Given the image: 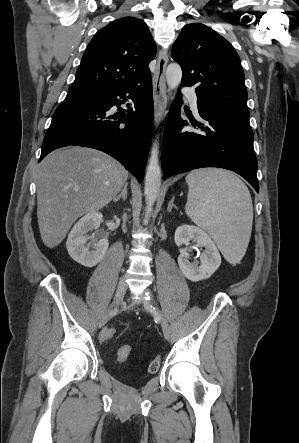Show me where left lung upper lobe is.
<instances>
[{
  "instance_id": "obj_1",
  "label": "left lung upper lobe",
  "mask_w": 299,
  "mask_h": 443,
  "mask_svg": "<svg viewBox=\"0 0 299 443\" xmlns=\"http://www.w3.org/2000/svg\"><path fill=\"white\" fill-rule=\"evenodd\" d=\"M171 56L182 68V85L197 86V103L208 110L249 117L240 58L221 35L201 23L187 24Z\"/></svg>"
}]
</instances>
